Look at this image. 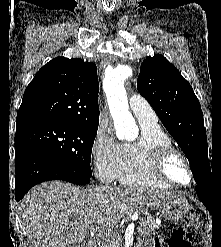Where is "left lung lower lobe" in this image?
<instances>
[{"label":"left lung lower lobe","instance_id":"1","mask_svg":"<svg viewBox=\"0 0 221 247\" xmlns=\"http://www.w3.org/2000/svg\"><path fill=\"white\" fill-rule=\"evenodd\" d=\"M196 193L206 208L210 211L212 203L215 199V188L213 184L197 185Z\"/></svg>","mask_w":221,"mask_h":247}]
</instances>
